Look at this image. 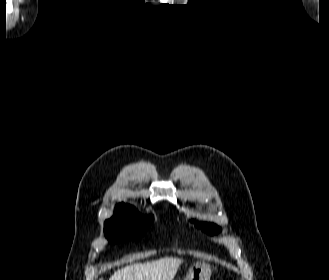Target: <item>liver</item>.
I'll use <instances>...</instances> for the list:
<instances>
[{
  "mask_svg": "<svg viewBox=\"0 0 329 280\" xmlns=\"http://www.w3.org/2000/svg\"><path fill=\"white\" fill-rule=\"evenodd\" d=\"M182 263V259L173 257L134 263L115 271L109 280H173Z\"/></svg>",
  "mask_w": 329,
  "mask_h": 280,
  "instance_id": "1",
  "label": "liver"
}]
</instances>
